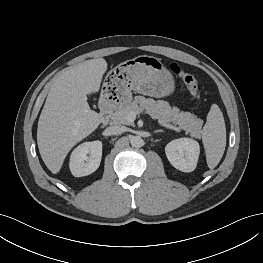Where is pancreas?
Here are the masks:
<instances>
[{"label":"pancreas","mask_w":263,"mask_h":263,"mask_svg":"<svg viewBox=\"0 0 263 263\" xmlns=\"http://www.w3.org/2000/svg\"><path fill=\"white\" fill-rule=\"evenodd\" d=\"M143 110L159 123H173L179 126L180 130H185L191 137L200 138L202 134L203 120L197 118L190 112H181L178 108H171L166 101H155L143 96H136L135 99L126 106L119 108L113 114V123L119 125H133L127 119L130 113L139 114Z\"/></svg>","instance_id":"cf45deb5"}]
</instances>
